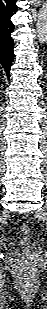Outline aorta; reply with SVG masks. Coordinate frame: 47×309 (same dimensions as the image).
I'll use <instances>...</instances> for the list:
<instances>
[{"label":"aorta","mask_w":47,"mask_h":309,"mask_svg":"<svg viewBox=\"0 0 47 309\" xmlns=\"http://www.w3.org/2000/svg\"><path fill=\"white\" fill-rule=\"evenodd\" d=\"M36 39L40 44L47 41V10L43 8L38 16L36 23Z\"/></svg>","instance_id":"1"}]
</instances>
